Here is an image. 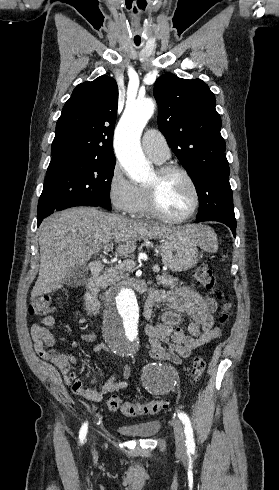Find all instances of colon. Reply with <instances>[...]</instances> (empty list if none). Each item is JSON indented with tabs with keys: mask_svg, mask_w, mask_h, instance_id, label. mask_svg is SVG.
<instances>
[{
	"mask_svg": "<svg viewBox=\"0 0 279 490\" xmlns=\"http://www.w3.org/2000/svg\"><path fill=\"white\" fill-rule=\"evenodd\" d=\"M195 277L201 287L212 293H217L218 288L215 279L205 263L198 266L195 271ZM32 316L48 317L54 312L53 302L49 295L39 296L32 300L30 306ZM229 314L227 310L222 311L220 322L226 323ZM206 362L203 357H196L192 361L191 374L194 378L200 377L205 370ZM106 406L110 411H117L125 416H149L154 415L164 408L168 407L165 399H153L139 402L123 401L119 395L109 394L106 398Z\"/></svg>",
	"mask_w": 279,
	"mask_h": 490,
	"instance_id": "obj_1",
	"label": "colon"
}]
</instances>
